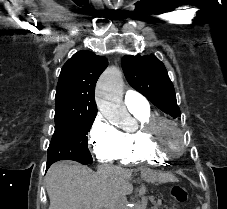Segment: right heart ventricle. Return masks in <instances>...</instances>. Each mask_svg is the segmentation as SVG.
Listing matches in <instances>:
<instances>
[{
  "mask_svg": "<svg viewBox=\"0 0 227 209\" xmlns=\"http://www.w3.org/2000/svg\"><path fill=\"white\" fill-rule=\"evenodd\" d=\"M130 112L139 126L134 131L121 132V145L114 160L127 166L157 164L167 160L168 158L150 149L140 135L141 123L153 115L150 108H132Z\"/></svg>",
  "mask_w": 227,
  "mask_h": 209,
  "instance_id": "right-heart-ventricle-1",
  "label": "right heart ventricle"
}]
</instances>
